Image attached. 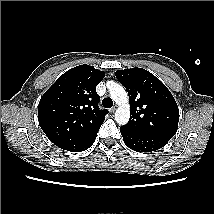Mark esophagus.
Returning <instances> with one entry per match:
<instances>
[{
  "label": "esophagus",
  "mask_w": 214,
  "mask_h": 214,
  "mask_svg": "<svg viewBox=\"0 0 214 214\" xmlns=\"http://www.w3.org/2000/svg\"><path fill=\"white\" fill-rule=\"evenodd\" d=\"M115 110H116V106H113L112 108H110V112H115Z\"/></svg>",
  "instance_id": "obj_1"
}]
</instances>
